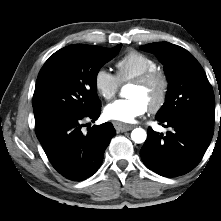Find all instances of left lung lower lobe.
Masks as SVG:
<instances>
[{"label":"left lung lower lobe","instance_id":"1","mask_svg":"<svg viewBox=\"0 0 221 221\" xmlns=\"http://www.w3.org/2000/svg\"><path fill=\"white\" fill-rule=\"evenodd\" d=\"M158 121L174 131L167 132L166 136L151 128L147 131V139L140 151L143 163L165 177L188 173L199 164L206 152L213 136V125L193 116Z\"/></svg>","mask_w":221,"mask_h":221}]
</instances>
